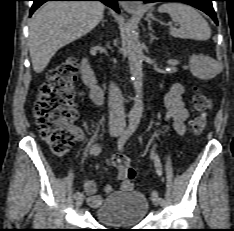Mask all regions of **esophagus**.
<instances>
[{
  "label": "esophagus",
  "mask_w": 234,
  "mask_h": 231,
  "mask_svg": "<svg viewBox=\"0 0 234 231\" xmlns=\"http://www.w3.org/2000/svg\"><path fill=\"white\" fill-rule=\"evenodd\" d=\"M123 7L126 11H134L135 9L139 8V6L136 4H124Z\"/></svg>",
  "instance_id": "1"
}]
</instances>
